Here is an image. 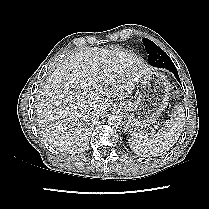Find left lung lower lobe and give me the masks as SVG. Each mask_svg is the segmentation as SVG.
<instances>
[{"mask_svg":"<svg viewBox=\"0 0 209 209\" xmlns=\"http://www.w3.org/2000/svg\"><path fill=\"white\" fill-rule=\"evenodd\" d=\"M169 71H171V72L174 74V76L177 78V80L180 82V79H179V75H178L177 69H176V68H175V69H170Z\"/></svg>","mask_w":209,"mask_h":209,"instance_id":"left-lung-lower-lobe-1","label":"left lung lower lobe"}]
</instances>
